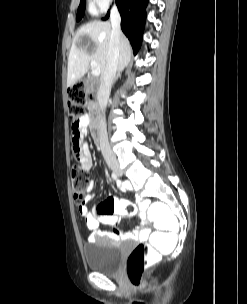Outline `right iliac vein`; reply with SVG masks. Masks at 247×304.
I'll return each mask as SVG.
<instances>
[{"label": "right iliac vein", "mask_w": 247, "mask_h": 304, "mask_svg": "<svg viewBox=\"0 0 247 304\" xmlns=\"http://www.w3.org/2000/svg\"><path fill=\"white\" fill-rule=\"evenodd\" d=\"M110 167L116 175L121 176L123 174L122 170L117 164H111Z\"/></svg>", "instance_id": "63e3f726"}]
</instances>
